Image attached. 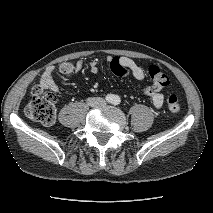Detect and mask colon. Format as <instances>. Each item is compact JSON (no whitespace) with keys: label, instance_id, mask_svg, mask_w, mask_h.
Masks as SVG:
<instances>
[{"label":"colon","instance_id":"1","mask_svg":"<svg viewBox=\"0 0 213 213\" xmlns=\"http://www.w3.org/2000/svg\"><path fill=\"white\" fill-rule=\"evenodd\" d=\"M110 67L114 74L120 77L130 73L129 66L117 58L112 61ZM59 71L64 76H71L76 72V67L73 62L66 61L59 65ZM147 73L152 87L155 89L161 90L169 85V77L158 66L150 65L147 69ZM55 101V96L51 91L37 85L32 89L31 99L25 106L24 113L27 118L50 126L54 124L56 120ZM167 103L168 109L171 112L177 113L180 111L181 103L176 95H170Z\"/></svg>","mask_w":213,"mask_h":213}]
</instances>
